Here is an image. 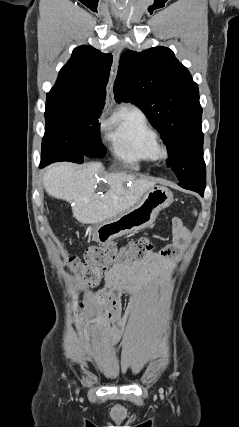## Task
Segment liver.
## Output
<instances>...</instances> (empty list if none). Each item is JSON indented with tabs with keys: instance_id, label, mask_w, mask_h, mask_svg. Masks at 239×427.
<instances>
[{
	"instance_id": "1",
	"label": "liver",
	"mask_w": 239,
	"mask_h": 427,
	"mask_svg": "<svg viewBox=\"0 0 239 427\" xmlns=\"http://www.w3.org/2000/svg\"><path fill=\"white\" fill-rule=\"evenodd\" d=\"M99 177L109 186L102 195L96 193ZM43 186L48 195L70 202L73 216L80 223L96 224L132 208L155 182L125 172L106 173L100 162L82 166L64 162L46 170Z\"/></svg>"
}]
</instances>
